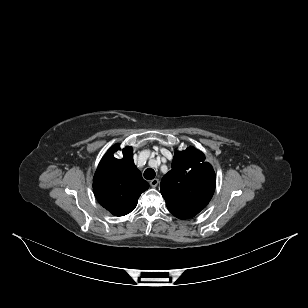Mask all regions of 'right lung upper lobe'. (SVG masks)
Here are the masks:
<instances>
[{"label":"right lung upper lobe","mask_w":308,"mask_h":308,"mask_svg":"<svg viewBox=\"0 0 308 308\" xmlns=\"http://www.w3.org/2000/svg\"><path fill=\"white\" fill-rule=\"evenodd\" d=\"M119 145L111 147L102 158L93 179L98 202L116 216L130 213L142 192L149 188L133 161L132 148L123 149V158L113 156Z\"/></svg>","instance_id":"1"}]
</instances>
